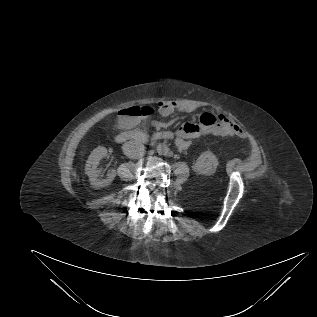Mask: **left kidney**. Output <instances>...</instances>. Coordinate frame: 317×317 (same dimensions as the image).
I'll return each mask as SVG.
<instances>
[{
	"instance_id": "left-kidney-1",
	"label": "left kidney",
	"mask_w": 317,
	"mask_h": 317,
	"mask_svg": "<svg viewBox=\"0 0 317 317\" xmlns=\"http://www.w3.org/2000/svg\"><path fill=\"white\" fill-rule=\"evenodd\" d=\"M218 166V159L211 151H204L200 154L196 162L193 164V169L199 174L209 176L215 173Z\"/></svg>"
}]
</instances>
